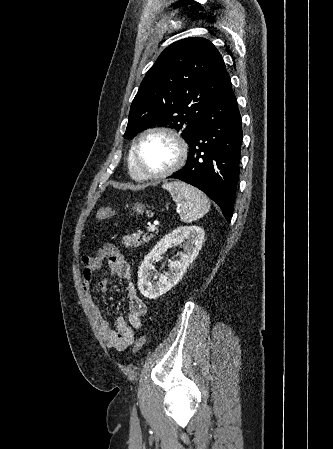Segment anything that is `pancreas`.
Masks as SVG:
<instances>
[{
  "label": "pancreas",
  "instance_id": "1",
  "mask_svg": "<svg viewBox=\"0 0 333 449\" xmlns=\"http://www.w3.org/2000/svg\"><path fill=\"white\" fill-rule=\"evenodd\" d=\"M152 237V234H143L142 232L132 233L130 235L123 236L122 244L128 248L138 247L149 242Z\"/></svg>",
  "mask_w": 333,
  "mask_h": 449
}]
</instances>
